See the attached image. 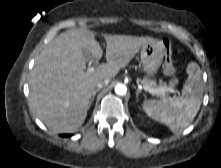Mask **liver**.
Instances as JSON below:
<instances>
[{"instance_id":"liver-1","label":"liver","mask_w":221,"mask_h":168,"mask_svg":"<svg viewBox=\"0 0 221 168\" xmlns=\"http://www.w3.org/2000/svg\"><path fill=\"white\" fill-rule=\"evenodd\" d=\"M97 33L87 29L59 34L41 52L29 79L30 103L37 117L53 132H75L84 123L97 83L114 78L152 37L105 35L106 64L85 71L83 50L100 59Z\"/></svg>"}]
</instances>
